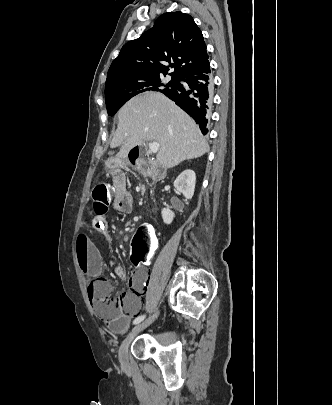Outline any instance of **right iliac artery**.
Here are the masks:
<instances>
[{
	"mask_svg": "<svg viewBox=\"0 0 332 405\" xmlns=\"http://www.w3.org/2000/svg\"><path fill=\"white\" fill-rule=\"evenodd\" d=\"M144 318H145V315H141V316L136 317V318L134 319V321H133V324H138V323H140L142 320H144Z\"/></svg>",
	"mask_w": 332,
	"mask_h": 405,
	"instance_id": "right-iliac-artery-1",
	"label": "right iliac artery"
}]
</instances>
